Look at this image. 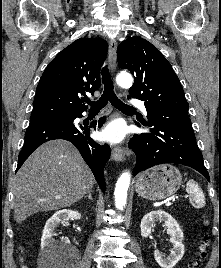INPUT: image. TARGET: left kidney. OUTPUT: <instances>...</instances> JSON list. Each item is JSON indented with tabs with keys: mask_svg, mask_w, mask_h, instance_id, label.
Returning a JSON list of instances; mask_svg holds the SVG:
<instances>
[{
	"mask_svg": "<svg viewBox=\"0 0 221 268\" xmlns=\"http://www.w3.org/2000/svg\"><path fill=\"white\" fill-rule=\"evenodd\" d=\"M156 221H163L167 226V233L170 235V242L173 245V251H171L170 255L165 258L160 251L155 250V260L162 268H173L183 257L185 252L184 245L182 243L183 232L177 221L170 214L165 211L158 210L151 211L141 220L140 228L142 237L147 238L151 234Z\"/></svg>",
	"mask_w": 221,
	"mask_h": 268,
	"instance_id": "left-kidney-1",
	"label": "left kidney"
}]
</instances>
